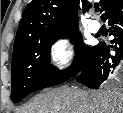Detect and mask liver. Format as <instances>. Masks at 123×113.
Listing matches in <instances>:
<instances>
[{"mask_svg": "<svg viewBox=\"0 0 123 113\" xmlns=\"http://www.w3.org/2000/svg\"><path fill=\"white\" fill-rule=\"evenodd\" d=\"M18 113H123V94L59 87L36 96Z\"/></svg>", "mask_w": 123, "mask_h": 113, "instance_id": "1", "label": "liver"}]
</instances>
